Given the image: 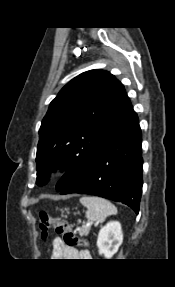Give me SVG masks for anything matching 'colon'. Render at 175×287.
<instances>
[{"mask_svg": "<svg viewBox=\"0 0 175 287\" xmlns=\"http://www.w3.org/2000/svg\"><path fill=\"white\" fill-rule=\"evenodd\" d=\"M39 227L43 238L48 236L49 231L54 230L67 246L85 247L88 245L87 240L76 235L66 219L53 217L46 211H41L39 213Z\"/></svg>", "mask_w": 175, "mask_h": 287, "instance_id": "1", "label": "colon"}]
</instances>
